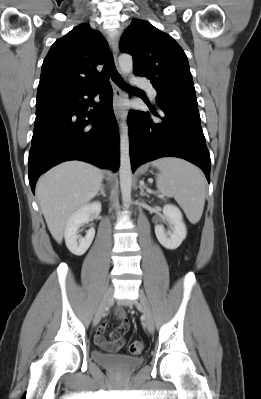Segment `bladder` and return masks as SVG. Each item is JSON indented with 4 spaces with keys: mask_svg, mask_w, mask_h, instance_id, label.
I'll return each mask as SVG.
<instances>
[{
    "mask_svg": "<svg viewBox=\"0 0 261 399\" xmlns=\"http://www.w3.org/2000/svg\"><path fill=\"white\" fill-rule=\"evenodd\" d=\"M91 356L96 363L113 371L129 372L143 363L141 357L128 356L122 353L109 354L94 350Z\"/></svg>",
    "mask_w": 261,
    "mask_h": 399,
    "instance_id": "obj_1",
    "label": "bladder"
}]
</instances>
